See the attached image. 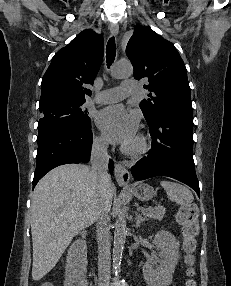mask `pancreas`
Returning a JSON list of instances; mask_svg holds the SVG:
<instances>
[{"label": "pancreas", "instance_id": "cf45deb5", "mask_svg": "<svg viewBox=\"0 0 231 286\" xmlns=\"http://www.w3.org/2000/svg\"><path fill=\"white\" fill-rule=\"evenodd\" d=\"M166 213V209L163 207H158L156 209H153L152 211H148L147 213H143L146 218L156 219V220H162L163 216Z\"/></svg>", "mask_w": 231, "mask_h": 286}]
</instances>
